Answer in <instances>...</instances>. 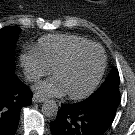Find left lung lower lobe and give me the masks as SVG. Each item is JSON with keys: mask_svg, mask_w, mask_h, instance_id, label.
I'll list each match as a JSON object with an SVG mask.
<instances>
[{"mask_svg": "<svg viewBox=\"0 0 135 135\" xmlns=\"http://www.w3.org/2000/svg\"><path fill=\"white\" fill-rule=\"evenodd\" d=\"M120 93H93L75 104H62L57 118L50 123L52 135H104L112 124Z\"/></svg>", "mask_w": 135, "mask_h": 135, "instance_id": "1", "label": "left lung lower lobe"}]
</instances>
